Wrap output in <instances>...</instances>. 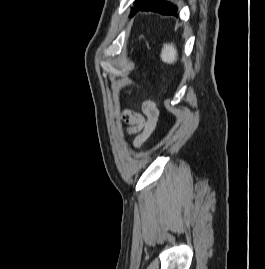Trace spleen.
Wrapping results in <instances>:
<instances>
[{"instance_id":"spleen-1","label":"spleen","mask_w":265,"mask_h":269,"mask_svg":"<svg viewBox=\"0 0 265 269\" xmlns=\"http://www.w3.org/2000/svg\"><path fill=\"white\" fill-rule=\"evenodd\" d=\"M160 57L164 63L174 64L177 61V50L174 44H164Z\"/></svg>"}]
</instances>
